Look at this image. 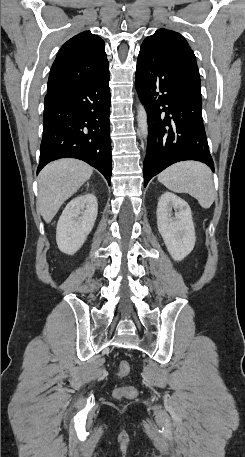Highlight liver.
Instances as JSON below:
<instances>
[{
  "mask_svg": "<svg viewBox=\"0 0 245 457\" xmlns=\"http://www.w3.org/2000/svg\"><path fill=\"white\" fill-rule=\"evenodd\" d=\"M92 166L76 158H60L42 168L38 176L37 204L45 222H51L64 200L90 178Z\"/></svg>",
  "mask_w": 245,
  "mask_h": 457,
  "instance_id": "obj_1",
  "label": "liver"
}]
</instances>
